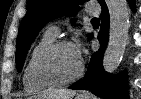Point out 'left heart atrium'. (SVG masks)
Returning <instances> with one entry per match:
<instances>
[{
  "label": "left heart atrium",
  "mask_w": 141,
  "mask_h": 99,
  "mask_svg": "<svg viewBox=\"0 0 141 99\" xmlns=\"http://www.w3.org/2000/svg\"><path fill=\"white\" fill-rule=\"evenodd\" d=\"M72 47H73V50H74L76 57L79 59V61H81L82 55H83V52H84V48H83L82 44L76 43Z\"/></svg>",
  "instance_id": "left-heart-atrium-1"
}]
</instances>
